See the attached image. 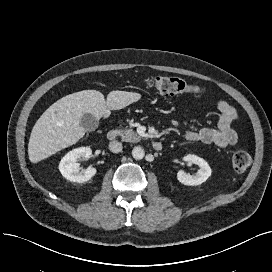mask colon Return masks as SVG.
Listing matches in <instances>:
<instances>
[{"instance_id":"obj_1","label":"colon","mask_w":272,"mask_h":272,"mask_svg":"<svg viewBox=\"0 0 272 272\" xmlns=\"http://www.w3.org/2000/svg\"><path fill=\"white\" fill-rule=\"evenodd\" d=\"M148 88L165 95H177L184 92L199 93V88L187 84L184 80L170 76H155L147 79ZM251 163V156L245 150H237L232 156V165L235 171L244 172Z\"/></svg>"}]
</instances>
